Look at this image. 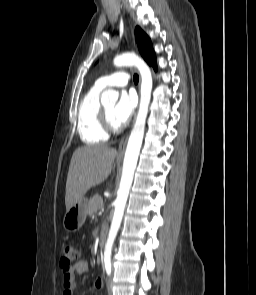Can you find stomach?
Wrapping results in <instances>:
<instances>
[{"label": "stomach", "mask_w": 256, "mask_h": 295, "mask_svg": "<svg viewBox=\"0 0 256 295\" xmlns=\"http://www.w3.org/2000/svg\"><path fill=\"white\" fill-rule=\"evenodd\" d=\"M88 200L80 199L69 208L63 218V227L68 232H73L82 227L87 217Z\"/></svg>", "instance_id": "stomach-1"}]
</instances>
